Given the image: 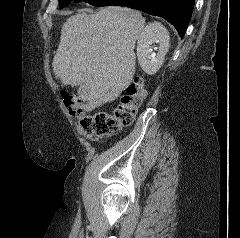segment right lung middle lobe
Segmentation results:
<instances>
[{
	"instance_id": "1",
	"label": "right lung middle lobe",
	"mask_w": 240,
	"mask_h": 238,
	"mask_svg": "<svg viewBox=\"0 0 240 238\" xmlns=\"http://www.w3.org/2000/svg\"><path fill=\"white\" fill-rule=\"evenodd\" d=\"M75 1H84L91 5H95L99 0H75ZM70 0H59V7L63 8L69 4Z\"/></svg>"
}]
</instances>
